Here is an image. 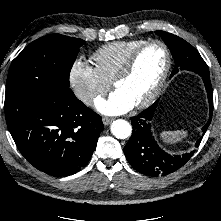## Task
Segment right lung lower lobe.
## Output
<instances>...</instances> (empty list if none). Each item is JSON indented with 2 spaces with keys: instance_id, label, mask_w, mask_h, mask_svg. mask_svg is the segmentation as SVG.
Listing matches in <instances>:
<instances>
[{
  "instance_id": "right-lung-lower-lobe-1",
  "label": "right lung lower lobe",
  "mask_w": 221,
  "mask_h": 221,
  "mask_svg": "<svg viewBox=\"0 0 221 221\" xmlns=\"http://www.w3.org/2000/svg\"><path fill=\"white\" fill-rule=\"evenodd\" d=\"M5 117L21 154L35 168L55 177L84 167L104 129L102 118L72 90L59 88L41 96L5 95Z\"/></svg>"
}]
</instances>
